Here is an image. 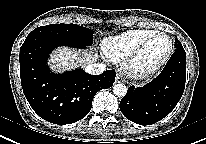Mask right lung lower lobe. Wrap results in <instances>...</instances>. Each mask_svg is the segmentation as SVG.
Masks as SVG:
<instances>
[{
  "mask_svg": "<svg viewBox=\"0 0 206 144\" xmlns=\"http://www.w3.org/2000/svg\"><path fill=\"white\" fill-rule=\"evenodd\" d=\"M58 46L84 48L45 36L26 38L20 48V75L32 109L42 119L64 125L84 118L91 110L95 94L111 87L116 73L107 70L101 75H90L77 69L54 74L48 68L47 58Z\"/></svg>",
  "mask_w": 206,
  "mask_h": 144,
  "instance_id": "98d812e1",
  "label": "right lung lower lobe"
}]
</instances>
